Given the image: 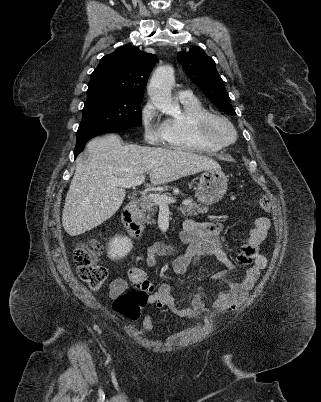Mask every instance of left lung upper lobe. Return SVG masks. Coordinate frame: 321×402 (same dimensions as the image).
<instances>
[{
  "label": "left lung upper lobe",
  "instance_id": "1",
  "mask_svg": "<svg viewBox=\"0 0 321 402\" xmlns=\"http://www.w3.org/2000/svg\"><path fill=\"white\" fill-rule=\"evenodd\" d=\"M177 56L187 75L217 107L236 114L214 60L203 49L194 47L188 52H179Z\"/></svg>",
  "mask_w": 321,
  "mask_h": 402
}]
</instances>
